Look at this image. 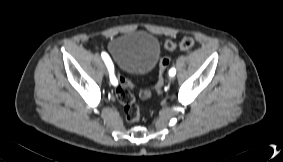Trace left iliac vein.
<instances>
[{
	"mask_svg": "<svg viewBox=\"0 0 283 162\" xmlns=\"http://www.w3.org/2000/svg\"><path fill=\"white\" fill-rule=\"evenodd\" d=\"M169 79H170V81H173V80H174V77H173V76H171Z\"/></svg>",
	"mask_w": 283,
	"mask_h": 162,
	"instance_id": "obj_1",
	"label": "left iliac vein"
}]
</instances>
